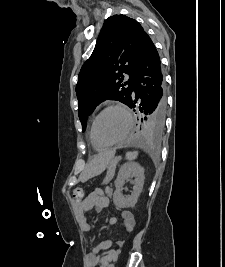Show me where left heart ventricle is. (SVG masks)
Listing matches in <instances>:
<instances>
[{"instance_id": "obj_1", "label": "left heart ventricle", "mask_w": 225, "mask_h": 267, "mask_svg": "<svg viewBox=\"0 0 225 267\" xmlns=\"http://www.w3.org/2000/svg\"><path fill=\"white\" fill-rule=\"evenodd\" d=\"M127 126V117L121 110H109L101 116L97 123V137L103 143L115 141L122 137Z\"/></svg>"}]
</instances>
